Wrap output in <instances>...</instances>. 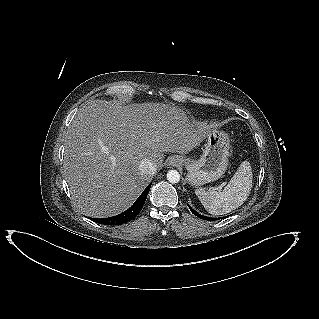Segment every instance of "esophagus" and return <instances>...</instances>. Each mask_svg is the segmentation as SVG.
<instances>
[{
    "label": "esophagus",
    "mask_w": 319,
    "mask_h": 319,
    "mask_svg": "<svg viewBox=\"0 0 319 319\" xmlns=\"http://www.w3.org/2000/svg\"><path fill=\"white\" fill-rule=\"evenodd\" d=\"M182 161L180 158L178 157H172L169 161V165L170 166H177L178 164H180Z\"/></svg>",
    "instance_id": "34e87169"
}]
</instances>
